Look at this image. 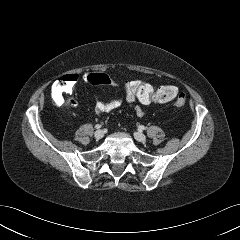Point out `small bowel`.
<instances>
[{"mask_svg": "<svg viewBox=\"0 0 240 240\" xmlns=\"http://www.w3.org/2000/svg\"><path fill=\"white\" fill-rule=\"evenodd\" d=\"M126 100L131 104L139 117H142L146 114L145 110L142 108L141 104L137 103L132 96L127 92L125 85L121 87V94L114 97L111 101L105 103L101 101L98 97L95 100V110L98 113H107L119 108L123 102ZM74 103V102H72Z\"/></svg>", "mask_w": 240, "mask_h": 240, "instance_id": "small-bowel-1", "label": "small bowel"}]
</instances>
